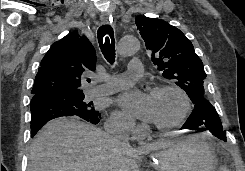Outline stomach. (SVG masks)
<instances>
[{
  "instance_id": "stomach-1",
  "label": "stomach",
  "mask_w": 245,
  "mask_h": 171,
  "mask_svg": "<svg viewBox=\"0 0 245 171\" xmlns=\"http://www.w3.org/2000/svg\"><path fill=\"white\" fill-rule=\"evenodd\" d=\"M217 145L208 134L180 138L153 155L158 171H215Z\"/></svg>"
}]
</instances>
